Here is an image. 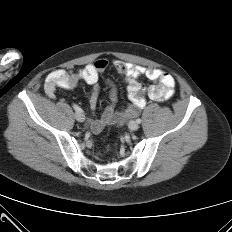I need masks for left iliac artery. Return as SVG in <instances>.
<instances>
[{"label":"left iliac artery","mask_w":232,"mask_h":232,"mask_svg":"<svg viewBox=\"0 0 232 232\" xmlns=\"http://www.w3.org/2000/svg\"><path fill=\"white\" fill-rule=\"evenodd\" d=\"M136 122H137L138 124H140V123L142 122V120H141L140 118H138V119L136 120Z\"/></svg>","instance_id":"44dca946"}]
</instances>
